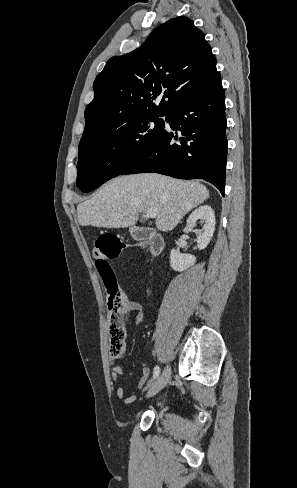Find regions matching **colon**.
<instances>
[{"label": "colon", "mask_w": 297, "mask_h": 488, "mask_svg": "<svg viewBox=\"0 0 297 488\" xmlns=\"http://www.w3.org/2000/svg\"><path fill=\"white\" fill-rule=\"evenodd\" d=\"M138 247L147 249L144 243H125L111 233H103L95 242L94 255L97 257L95 264L107 291L110 353L113 357H120L125 351L124 320L129 311V299L117 283L110 260L118 258L125 249Z\"/></svg>", "instance_id": "5ec220e1"}]
</instances>
